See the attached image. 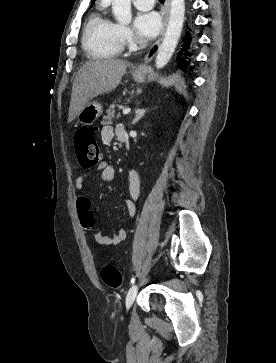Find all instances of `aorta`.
I'll list each match as a JSON object with an SVG mask.
<instances>
[{
	"instance_id": "1",
	"label": "aorta",
	"mask_w": 276,
	"mask_h": 363,
	"mask_svg": "<svg viewBox=\"0 0 276 363\" xmlns=\"http://www.w3.org/2000/svg\"><path fill=\"white\" fill-rule=\"evenodd\" d=\"M113 16L122 24L131 22V0H112ZM185 15V0H171L170 17L164 39L158 48L155 66L163 68L173 55L181 36Z\"/></svg>"
}]
</instances>
